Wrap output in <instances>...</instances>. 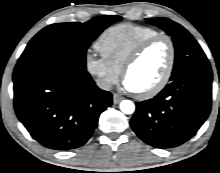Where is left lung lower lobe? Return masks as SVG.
Instances as JSON below:
<instances>
[{"instance_id": "obj_1", "label": "left lung lower lobe", "mask_w": 220, "mask_h": 173, "mask_svg": "<svg viewBox=\"0 0 220 173\" xmlns=\"http://www.w3.org/2000/svg\"><path fill=\"white\" fill-rule=\"evenodd\" d=\"M211 90V70L183 74L153 99L136 102L131 127L153 147H177L193 137L207 119Z\"/></svg>"}]
</instances>
